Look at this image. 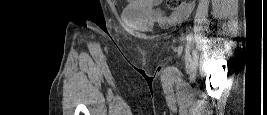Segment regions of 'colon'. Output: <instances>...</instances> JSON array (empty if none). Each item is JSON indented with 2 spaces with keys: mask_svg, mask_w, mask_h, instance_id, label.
I'll return each instance as SVG.
<instances>
[{
  "mask_svg": "<svg viewBox=\"0 0 267 115\" xmlns=\"http://www.w3.org/2000/svg\"><path fill=\"white\" fill-rule=\"evenodd\" d=\"M192 0H168L167 6L170 10H178L179 8L191 4Z\"/></svg>",
  "mask_w": 267,
  "mask_h": 115,
  "instance_id": "obj_1",
  "label": "colon"
}]
</instances>
